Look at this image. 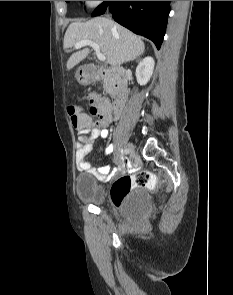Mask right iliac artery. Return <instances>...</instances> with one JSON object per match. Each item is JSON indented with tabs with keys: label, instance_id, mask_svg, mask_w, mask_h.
Masks as SVG:
<instances>
[{
	"label": "right iliac artery",
	"instance_id": "1",
	"mask_svg": "<svg viewBox=\"0 0 233 295\" xmlns=\"http://www.w3.org/2000/svg\"><path fill=\"white\" fill-rule=\"evenodd\" d=\"M128 148H125L124 153L127 154Z\"/></svg>",
	"mask_w": 233,
	"mask_h": 295
}]
</instances>
